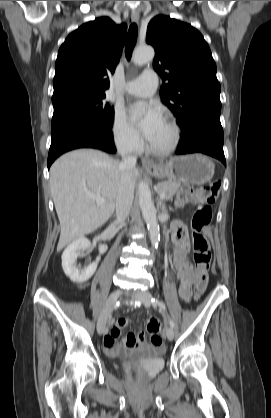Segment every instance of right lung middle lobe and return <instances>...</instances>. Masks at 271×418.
Returning <instances> with one entry per match:
<instances>
[{"mask_svg": "<svg viewBox=\"0 0 271 418\" xmlns=\"http://www.w3.org/2000/svg\"><path fill=\"white\" fill-rule=\"evenodd\" d=\"M105 93L76 94L53 100L52 129L86 121L113 123L114 108L104 100Z\"/></svg>", "mask_w": 271, "mask_h": 418, "instance_id": "dd1d6c3e", "label": "right lung middle lobe"}]
</instances>
